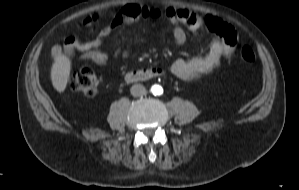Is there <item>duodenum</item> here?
<instances>
[{"mask_svg":"<svg viewBox=\"0 0 299 190\" xmlns=\"http://www.w3.org/2000/svg\"><path fill=\"white\" fill-rule=\"evenodd\" d=\"M162 74H163V72L160 69H157V68H144V69L129 71L125 75V79H126L127 82H139V81L159 77Z\"/></svg>","mask_w":299,"mask_h":190,"instance_id":"obj_1","label":"duodenum"}]
</instances>
